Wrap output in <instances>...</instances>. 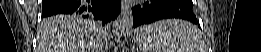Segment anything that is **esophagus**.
<instances>
[{
    "mask_svg": "<svg viewBox=\"0 0 261 52\" xmlns=\"http://www.w3.org/2000/svg\"><path fill=\"white\" fill-rule=\"evenodd\" d=\"M121 12L123 15H128L130 13V5L128 4V2H122Z\"/></svg>",
    "mask_w": 261,
    "mask_h": 52,
    "instance_id": "esophagus-1",
    "label": "esophagus"
}]
</instances>
